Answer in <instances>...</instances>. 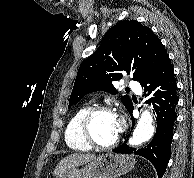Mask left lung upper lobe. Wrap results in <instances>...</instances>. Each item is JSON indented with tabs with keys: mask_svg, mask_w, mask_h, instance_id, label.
Masks as SVG:
<instances>
[{
	"mask_svg": "<svg viewBox=\"0 0 194 178\" xmlns=\"http://www.w3.org/2000/svg\"><path fill=\"white\" fill-rule=\"evenodd\" d=\"M168 54L153 31L135 20H123L106 34L99 48L78 70L69 100V108L93 91L111 94L117 91L112 81L122 78V72L133 74V80L142 82L156 71ZM121 101L128 110L132 101L127 95Z\"/></svg>",
	"mask_w": 194,
	"mask_h": 178,
	"instance_id": "5c2ea615",
	"label": "left lung upper lobe"
}]
</instances>
